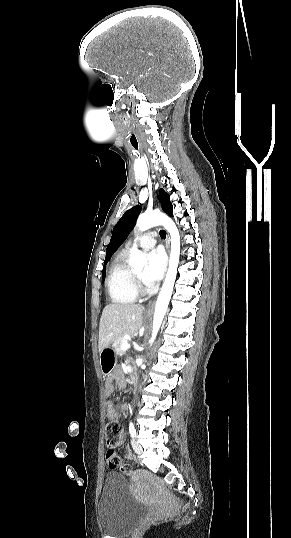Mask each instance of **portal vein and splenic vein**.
Returning <instances> with one entry per match:
<instances>
[{
    "mask_svg": "<svg viewBox=\"0 0 291 538\" xmlns=\"http://www.w3.org/2000/svg\"><path fill=\"white\" fill-rule=\"evenodd\" d=\"M121 348L123 350H126V349H129L130 348V344L128 342H123L122 345H121Z\"/></svg>",
    "mask_w": 291,
    "mask_h": 538,
    "instance_id": "obj_1",
    "label": "portal vein and splenic vein"
}]
</instances>
